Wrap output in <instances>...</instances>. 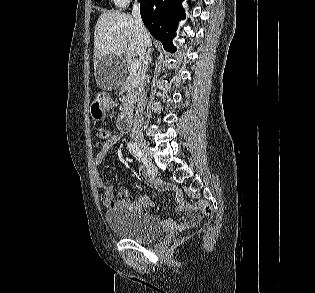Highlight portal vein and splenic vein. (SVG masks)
<instances>
[{
  "mask_svg": "<svg viewBox=\"0 0 315 293\" xmlns=\"http://www.w3.org/2000/svg\"><path fill=\"white\" fill-rule=\"evenodd\" d=\"M138 69V63L137 62H132L130 65V70L132 73H135Z\"/></svg>",
  "mask_w": 315,
  "mask_h": 293,
  "instance_id": "obj_1",
  "label": "portal vein and splenic vein"
}]
</instances>
